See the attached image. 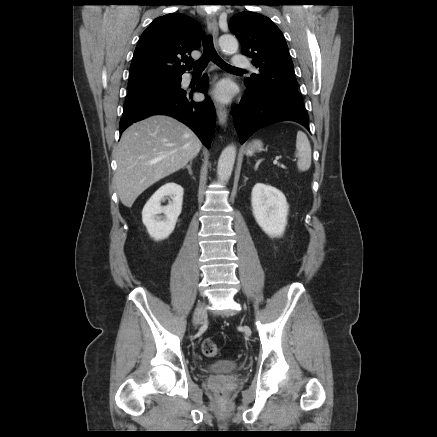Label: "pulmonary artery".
<instances>
[{
	"mask_svg": "<svg viewBox=\"0 0 437 437\" xmlns=\"http://www.w3.org/2000/svg\"><path fill=\"white\" fill-rule=\"evenodd\" d=\"M232 66L239 69L250 68V61L241 55H235L232 59Z\"/></svg>",
	"mask_w": 437,
	"mask_h": 437,
	"instance_id": "pulmonary-artery-1",
	"label": "pulmonary artery"
}]
</instances>
